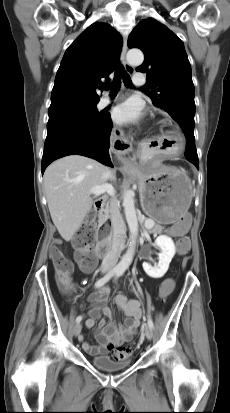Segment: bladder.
I'll return each instance as SVG.
<instances>
[{
	"label": "bladder",
	"mask_w": 230,
	"mask_h": 413,
	"mask_svg": "<svg viewBox=\"0 0 230 413\" xmlns=\"http://www.w3.org/2000/svg\"><path fill=\"white\" fill-rule=\"evenodd\" d=\"M91 363L98 369L106 372H115L128 368L132 360L126 359L115 361L108 356H96L91 359Z\"/></svg>",
	"instance_id": "31cf9c89"
}]
</instances>
